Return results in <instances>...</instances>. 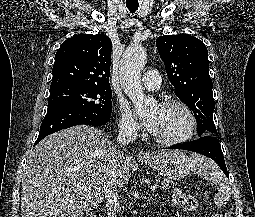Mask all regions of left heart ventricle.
<instances>
[{"label": "left heart ventricle", "mask_w": 255, "mask_h": 217, "mask_svg": "<svg viewBox=\"0 0 255 217\" xmlns=\"http://www.w3.org/2000/svg\"><path fill=\"white\" fill-rule=\"evenodd\" d=\"M157 115V124L154 134L162 138H173L183 134L188 127V116L178 106L154 107L148 114Z\"/></svg>", "instance_id": "obj_1"}]
</instances>
